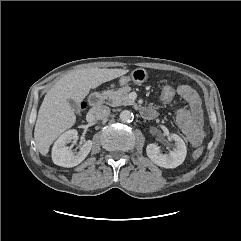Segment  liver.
I'll return each instance as SVG.
<instances>
[{
  "label": "liver",
  "mask_w": 241,
  "mask_h": 241,
  "mask_svg": "<svg viewBox=\"0 0 241 241\" xmlns=\"http://www.w3.org/2000/svg\"><path fill=\"white\" fill-rule=\"evenodd\" d=\"M128 72L127 69L84 68L61 77L47 92L40 106L34 129L39 152L47 155L51 144L76 122L68 100L81 102L91 89Z\"/></svg>",
  "instance_id": "6515ba94"
}]
</instances>
